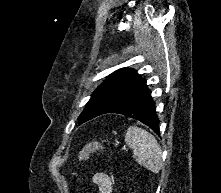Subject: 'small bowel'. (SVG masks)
<instances>
[{"instance_id": "obj_1", "label": "small bowel", "mask_w": 221, "mask_h": 193, "mask_svg": "<svg viewBox=\"0 0 221 193\" xmlns=\"http://www.w3.org/2000/svg\"><path fill=\"white\" fill-rule=\"evenodd\" d=\"M92 182L97 185L98 193H112L113 191L112 181L106 173H95L92 176Z\"/></svg>"}]
</instances>
